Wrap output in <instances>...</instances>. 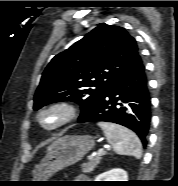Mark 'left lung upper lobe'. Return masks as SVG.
Wrapping results in <instances>:
<instances>
[{"label":"left lung upper lobe","mask_w":178,"mask_h":186,"mask_svg":"<svg viewBox=\"0 0 178 186\" xmlns=\"http://www.w3.org/2000/svg\"><path fill=\"white\" fill-rule=\"evenodd\" d=\"M140 63L136 40L123 28L102 23L51 60L36 90L34 110L73 101L80 104L83 115L101 102L121 75Z\"/></svg>","instance_id":"left-lung-upper-lobe-1"}]
</instances>
